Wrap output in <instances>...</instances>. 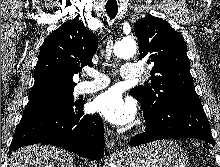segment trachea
I'll return each instance as SVG.
<instances>
[{"label":"trachea","mask_w":220,"mask_h":167,"mask_svg":"<svg viewBox=\"0 0 220 167\" xmlns=\"http://www.w3.org/2000/svg\"><path fill=\"white\" fill-rule=\"evenodd\" d=\"M106 12L110 19H113L118 13L117 5H106Z\"/></svg>","instance_id":"1"}]
</instances>
